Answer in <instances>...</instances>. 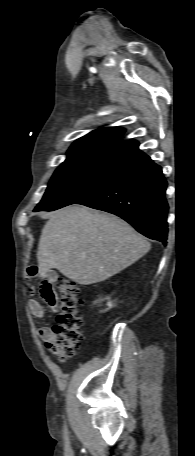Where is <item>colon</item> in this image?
Wrapping results in <instances>:
<instances>
[{
	"mask_svg": "<svg viewBox=\"0 0 195 456\" xmlns=\"http://www.w3.org/2000/svg\"><path fill=\"white\" fill-rule=\"evenodd\" d=\"M57 288V324L53 327L55 340L46 343V347L59 360L65 361L75 354L82 340L81 308L83 302L80 288L73 280L60 278Z\"/></svg>",
	"mask_w": 195,
	"mask_h": 456,
	"instance_id": "5ec220e1",
	"label": "colon"
}]
</instances>
